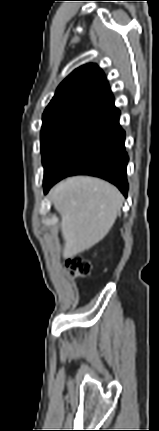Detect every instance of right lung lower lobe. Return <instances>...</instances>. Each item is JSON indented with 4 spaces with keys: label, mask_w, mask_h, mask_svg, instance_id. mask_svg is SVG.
Segmentation results:
<instances>
[{
    "label": "right lung lower lobe",
    "mask_w": 159,
    "mask_h": 431,
    "mask_svg": "<svg viewBox=\"0 0 159 431\" xmlns=\"http://www.w3.org/2000/svg\"><path fill=\"white\" fill-rule=\"evenodd\" d=\"M114 108L82 125L55 150L44 167V192L59 180L77 174L103 178L127 196L125 131Z\"/></svg>",
    "instance_id": "98d812e1"
}]
</instances>
